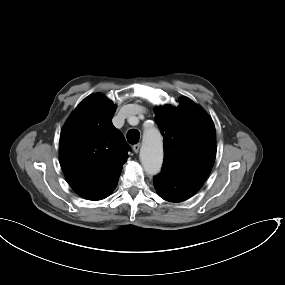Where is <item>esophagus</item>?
I'll use <instances>...</instances> for the list:
<instances>
[{
  "instance_id": "esophagus-1",
  "label": "esophagus",
  "mask_w": 285,
  "mask_h": 285,
  "mask_svg": "<svg viewBox=\"0 0 285 285\" xmlns=\"http://www.w3.org/2000/svg\"><path fill=\"white\" fill-rule=\"evenodd\" d=\"M140 147H141V144L137 143V144L133 145L132 149L135 153H138L140 150Z\"/></svg>"
}]
</instances>
